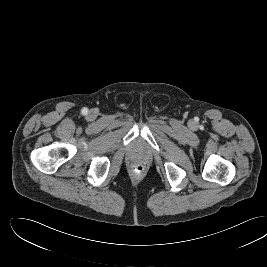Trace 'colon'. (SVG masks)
I'll use <instances>...</instances> for the list:
<instances>
[{
    "label": "colon",
    "instance_id": "5ec220e1",
    "mask_svg": "<svg viewBox=\"0 0 267 267\" xmlns=\"http://www.w3.org/2000/svg\"><path fill=\"white\" fill-rule=\"evenodd\" d=\"M132 170L135 174H140L143 172L144 167L141 164L137 163L132 166Z\"/></svg>",
    "mask_w": 267,
    "mask_h": 267
}]
</instances>
